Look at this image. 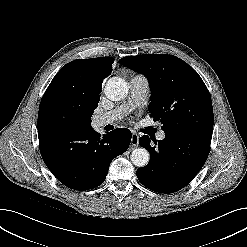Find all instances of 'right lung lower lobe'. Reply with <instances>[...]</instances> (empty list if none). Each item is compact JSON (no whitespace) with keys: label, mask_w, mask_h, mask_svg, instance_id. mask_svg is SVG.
<instances>
[{"label":"right lung lower lobe","mask_w":247,"mask_h":247,"mask_svg":"<svg viewBox=\"0 0 247 247\" xmlns=\"http://www.w3.org/2000/svg\"><path fill=\"white\" fill-rule=\"evenodd\" d=\"M131 136L127 128L100 136L92 127L73 131L38 121L39 148L46 166L62 184L74 190L101 185L111 161L128 149Z\"/></svg>","instance_id":"98d812e1"}]
</instances>
